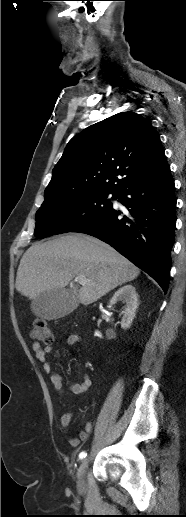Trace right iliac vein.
Here are the masks:
<instances>
[{
  "mask_svg": "<svg viewBox=\"0 0 186 517\" xmlns=\"http://www.w3.org/2000/svg\"><path fill=\"white\" fill-rule=\"evenodd\" d=\"M88 462H89L88 458L84 459L78 470V486L80 489H82L84 487V475H85L86 469L88 467Z\"/></svg>",
  "mask_w": 186,
  "mask_h": 517,
  "instance_id": "obj_1",
  "label": "right iliac vein"
}]
</instances>
